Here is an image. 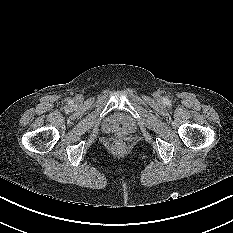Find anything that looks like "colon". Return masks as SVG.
I'll return each mask as SVG.
<instances>
[{"label": "colon", "mask_w": 233, "mask_h": 233, "mask_svg": "<svg viewBox=\"0 0 233 233\" xmlns=\"http://www.w3.org/2000/svg\"><path fill=\"white\" fill-rule=\"evenodd\" d=\"M113 146H114V148L115 149H121L122 148V143L121 142H119V141H116L114 144H113Z\"/></svg>", "instance_id": "obj_1"}]
</instances>
